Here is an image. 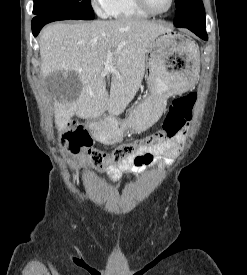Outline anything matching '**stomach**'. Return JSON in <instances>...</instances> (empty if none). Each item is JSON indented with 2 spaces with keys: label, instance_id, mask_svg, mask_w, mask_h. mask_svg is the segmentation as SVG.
Listing matches in <instances>:
<instances>
[{
  "label": "stomach",
  "instance_id": "0dacf381",
  "mask_svg": "<svg viewBox=\"0 0 247 275\" xmlns=\"http://www.w3.org/2000/svg\"><path fill=\"white\" fill-rule=\"evenodd\" d=\"M199 71V51L193 41L171 30L158 35L146 53L149 95L134 106L125 120L92 122L90 130L104 144L119 142L126 131L147 130L161 117L170 96L184 93L195 85Z\"/></svg>",
  "mask_w": 247,
  "mask_h": 275
}]
</instances>
